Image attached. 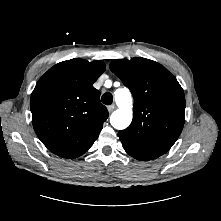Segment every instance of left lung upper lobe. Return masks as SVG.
Wrapping results in <instances>:
<instances>
[{"instance_id":"1","label":"left lung upper lobe","mask_w":221,"mask_h":221,"mask_svg":"<svg viewBox=\"0 0 221 221\" xmlns=\"http://www.w3.org/2000/svg\"><path fill=\"white\" fill-rule=\"evenodd\" d=\"M110 69L134 98L132 123L118 133L122 144L142 158H158L173 146L183 129V89L166 68L149 59H117Z\"/></svg>"}]
</instances>
